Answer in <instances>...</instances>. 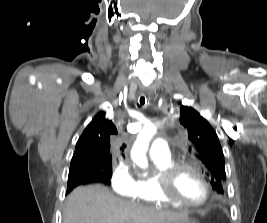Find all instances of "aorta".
Returning <instances> with one entry per match:
<instances>
[{
    "mask_svg": "<svg viewBox=\"0 0 267 223\" xmlns=\"http://www.w3.org/2000/svg\"><path fill=\"white\" fill-rule=\"evenodd\" d=\"M156 133V128L152 124H147L144 129L138 134L136 141L131 149V158L139 167L145 168L148 166L146 151L148 150L149 141Z\"/></svg>",
    "mask_w": 267,
    "mask_h": 223,
    "instance_id": "1",
    "label": "aorta"
}]
</instances>
